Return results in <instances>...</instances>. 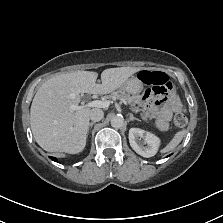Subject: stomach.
<instances>
[{"instance_id": "stomach-1", "label": "stomach", "mask_w": 223, "mask_h": 223, "mask_svg": "<svg viewBox=\"0 0 223 223\" xmlns=\"http://www.w3.org/2000/svg\"><path fill=\"white\" fill-rule=\"evenodd\" d=\"M142 80H133L132 78L130 79H127L126 81H124L120 86L119 88H122L124 89L125 87L132 91V92H139L141 89H142Z\"/></svg>"}]
</instances>
